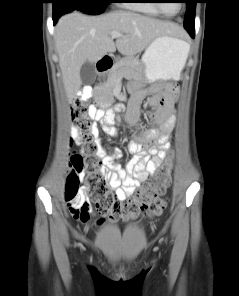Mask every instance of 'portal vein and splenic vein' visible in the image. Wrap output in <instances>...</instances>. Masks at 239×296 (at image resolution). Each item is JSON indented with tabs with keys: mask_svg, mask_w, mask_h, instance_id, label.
Instances as JSON below:
<instances>
[{
	"mask_svg": "<svg viewBox=\"0 0 239 296\" xmlns=\"http://www.w3.org/2000/svg\"><path fill=\"white\" fill-rule=\"evenodd\" d=\"M111 36H112L113 38H117V37H123V34L120 33V32H117V31H112V32H111Z\"/></svg>",
	"mask_w": 239,
	"mask_h": 296,
	"instance_id": "obj_1",
	"label": "portal vein and splenic vein"
}]
</instances>
